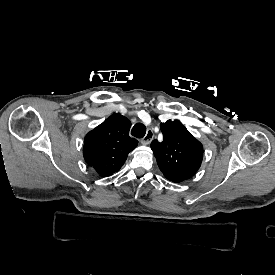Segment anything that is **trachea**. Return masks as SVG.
Segmentation results:
<instances>
[{
    "instance_id": "obj_1",
    "label": "trachea",
    "mask_w": 275,
    "mask_h": 275,
    "mask_svg": "<svg viewBox=\"0 0 275 275\" xmlns=\"http://www.w3.org/2000/svg\"><path fill=\"white\" fill-rule=\"evenodd\" d=\"M146 133V127L142 123H136L131 131V134L136 138H143Z\"/></svg>"
}]
</instances>
